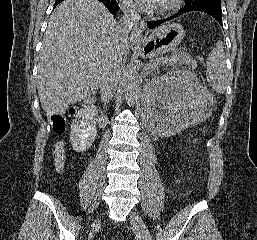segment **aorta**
Returning <instances> with one entry per match:
<instances>
[{"instance_id": "obj_1", "label": "aorta", "mask_w": 257, "mask_h": 240, "mask_svg": "<svg viewBox=\"0 0 257 240\" xmlns=\"http://www.w3.org/2000/svg\"><path fill=\"white\" fill-rule=\"evenodd\" d=\"M136 66L132 62L127 64L123 72V86L126 101L129 105L136 102L138 97V85L136 78Z\"/></svg>"}]
</instances>
